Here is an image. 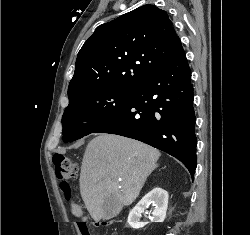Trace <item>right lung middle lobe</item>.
I'll list each match as a JSON object with an SVG mask.
<instances>
[{
    "label": "right lung middle lobe",
    "mask_w": 250,
    "mask_h": 235,
    "mask_svg": "<svg viewBox=\"0 0 250 235\" xmlns=\"http://www.w3.org/2000/svg\"><path fill=\"white\" fill-rule=\"evenodd\" d=\"M134 89H101L69 102L62 117L63 141L72 142L93 133L132 97Z\"/></svg>",
    "instance_id": "dd1d6c3e"
}]
</instances>
